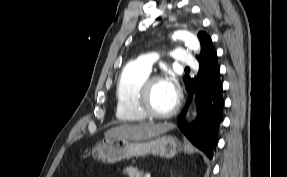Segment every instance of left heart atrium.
Returning <instances> with one entry per match:
<instances>
[{
    "label": "left heart atrium",
    "mask_w": 287,
    "mask_h": 177,
    "mask_svg": "<svg viewBox=\"0 0 287 177\" xmlns=\"http://www.w3.org/2000/svg\"><path fill=\"white\" fill-rule=\"evenodd\" d=\"M164 82L166 83V85H167L174 93H177L176 81H175V79H174L172 76L167 77L166 79H164Z\"/></svg>",
    "instance_id": "left-heart-atrium-1"
}]
</instances>
